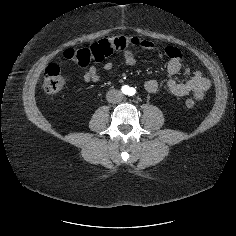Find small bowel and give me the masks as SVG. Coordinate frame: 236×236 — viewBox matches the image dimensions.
Listing matches in <instances>:
<instances>
[{"label": "small bowel", "instance_id": "c3829d8e", "mask_svg": "<svg viewBox=\"0 0 236 236\" xmlns=\"http://www.w3.org/2000/svg\"><path fill=\"white\" fill-rule=\"evenodd\" d=\"M139 47L142 51H155L160 58L166 56L169 61L166 66L167 80L166 85L168 90L176 96L192 95L194 99L201 100L211 87L210 80L203 75L200 70L191 71L187 66L184 68L185 75L189 78L185 82H177L173 76L181 71L184 63V56L181 51L174 46H167L163 50L158 49L152 42L143 40ZM123 58L127 65L136 63V55L133 51L125 49ZM114 64L111 60L104 62L103 68L106 71L112 70ZM85 83H96L100 80L98 69L90 65L86 67L83 75ZM145 90L149 93H154L158 88V82L154 79H148L144 83Z\"/></svg>", "mask_w": 236, "mask_h": 236}]
</instances>
